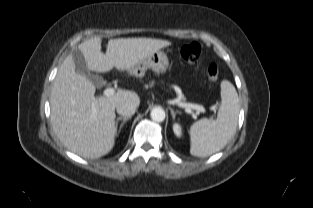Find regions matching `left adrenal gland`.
<instances>
[{
	"instance_id": "left-adrenal-gland-1",
	"label": "left adrenal gland",
	"mask_w": 313,
	"mask_h": 208,
	"mask_svg": "<svg viewBox=\"0 0 313 208\" xmlns=\"http://www.w3.org/2000/svg\"><path fill=\"white\" fill-rule=\"evenodd\" d=\"M169 109H170L173 120H175L176 114L180 113V111H174L171 107Z\"/></svg>"
}]
</instances>
